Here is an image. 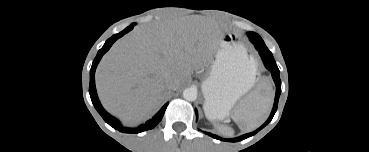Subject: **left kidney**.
Wrapping results in <instances>:
<instances>
[{"label": "left kidney", "instance_id": "obj_1", "mask_svg": "<svg viewBox=\"0 0 369 152\" xmlns=\"http://www.w3.org/2000/svg\"><path fill=\"white\" fill-rule=\"evenodd\" d=\"M219 129L221 130V131H226V132H228V133H232V130L231 129H229V128H227V127H219Z\"/></svg>", "mask_w": 369, "mask_h": 152}]
</instances>
